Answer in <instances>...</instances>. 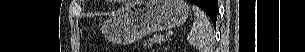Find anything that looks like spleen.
<instances>
[{
	"mask_svg": "<svg viewBox=\"0 0 305 52\" xmlns=\"http://www.w3.org/2000/svg\"><path fill=\"white\" fill-rule=\"evenodd\" d=\"M192 10L196 18L191 32L187 35V41L199 52H213L214 39L211 24L198 6L193 5Z\"/></svg>",
	"mask_w": 305,
	"mask_h": 52,
	"instance_id": "3e777b00",
	"label": "spleen"
}]
</instances>
